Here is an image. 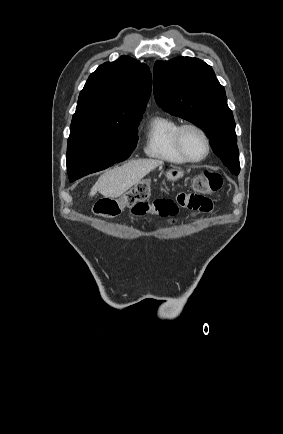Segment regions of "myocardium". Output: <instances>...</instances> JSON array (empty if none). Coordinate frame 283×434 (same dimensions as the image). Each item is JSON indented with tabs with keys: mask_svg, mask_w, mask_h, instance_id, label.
I'll return each mask as SVG.
<instances>
[{
	"mask_svg": "<svg viewBox=\"0 0 283 434\" xmlns=\"http://www.w3.org/2000/svg\"><path fill=\"white\" fill-rule=\"evenodd\" d=\"M186 129L196 130L197 132L200 133V135L204 139L206 150H205V153L201 157L193 158V157L189 156L187 154V152L185 151V149L183 147V143H182V134ZM174 140H175V146H176L177 151L187 162H192V163L201 162V161L205 160L208 157V155L210 154L211 142H210L209 136H208L207 132L198 124H195V123L180 124L178 126L176 132H175Z\"/></svg>",
	"mask_w": 283,
	"mask_h": 434,
	"instance_id": "1",
	"label": "myocardium"
}]
</instances>
